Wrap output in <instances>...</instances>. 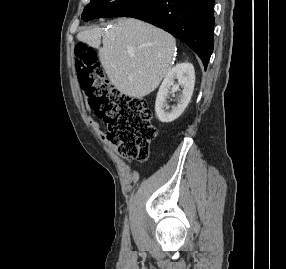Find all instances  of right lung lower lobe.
I'll list each match as a JSON object with an SVG mask.
<instances>
[{
	"instance_id": "1",
	"label": "right lung lower lobe",
	"mask_w": 286,
	"mask_h": 269,
	"mask_svg": "<svg viewBox=\"0 0 286 269\" xmlns=\"http://www.w3.org/2000/svg\"><path fill=\"white\" fill-rule=\"evenodd\" d=\"M214 0H151L126 17L151 23L185 42L207 68L214 46Z\"/></svg>"
}]
</instances>
